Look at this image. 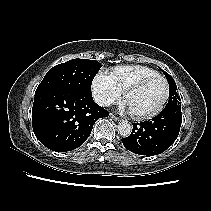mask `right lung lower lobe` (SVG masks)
I'll return each instance as SVG.
<instances>
[{
	"label": "right lung lower lobe",
	"mask_w": 211,
	"mask_h": 211,
	"mask_svg": "<svg viewBox=\"0 0 211 211\" xmlns=\"http://www.w3.org/2000/svg\"><path fill=\"white\" fill-rule=\"evenodd\" d=\"M108 115L94 102L91 92L54 89L35 94L32 126L44 146L66 152L81 146L94 123Z\"/></svg>",
	"instance_id": "1"
}]
</instances>
